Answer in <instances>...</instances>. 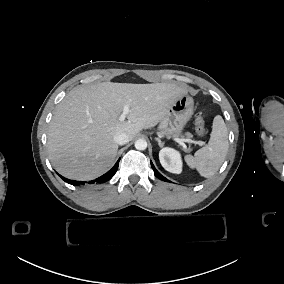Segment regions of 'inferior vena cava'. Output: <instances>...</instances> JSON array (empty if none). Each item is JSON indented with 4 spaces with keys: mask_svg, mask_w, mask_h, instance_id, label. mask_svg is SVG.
Listing matches in <instances>:
<instances>
[{
    "mask_svg": "<svg viewBox=\"0 0 284 284\" xmlns=\"http://www.w3.org/2000/svg\"><path fill=\"white\" fill-rule=\"evenodd\" d=\"M114 141L119 145H124L129 142V137L125 133H116L114 135Z\"/></svg>",
    "mask_w": 284,
    "mask_h": 284,
    "instance_id": "1",
    "label": "inferior vena cava"
}]
</instances>
